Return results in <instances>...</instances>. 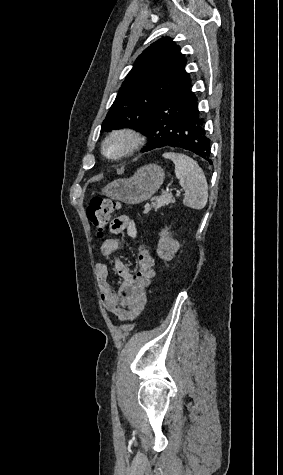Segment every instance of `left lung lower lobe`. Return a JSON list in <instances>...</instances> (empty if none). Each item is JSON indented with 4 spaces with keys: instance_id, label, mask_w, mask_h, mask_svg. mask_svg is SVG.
<instances>
[{
    "instance_id": "obj_1",
    "label": "left lung lower lobe",
    "mask_w": 283,
    "mask_h": 475,
    "mask_svg": "<svg viewBox=\"0 0 283 475\" xmlns=\"http://www.w3.org/2000/svg\"><path fill=\"white\" fill-rule=\"evenodd\" d=\"M204 118L198 110L197 97L190 90L186 78L154 107L143 126L148 144L142 152L164 146L189 150L210 163L211 141L207 136Z\"/></svg>"
}]
</instances>
